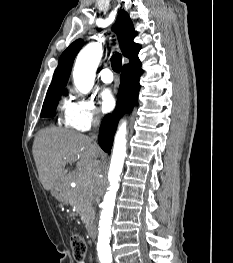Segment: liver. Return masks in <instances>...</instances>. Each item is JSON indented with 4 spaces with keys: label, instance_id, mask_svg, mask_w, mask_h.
I'll use <instances>...</instances> for the list:
<instances>
[{
    "label": "liver",
    "instance_id": "1",
    "mask_svg": "<svg viewBox=\"0 0 233 263\" xmlns=\"http://www.w3.org/2000/svg\"><path fill=\"white\" fill-rule=\"evenodd\" d=\"M33 156L44 189L52 190L56 182L64 177L67 162L76 157L79 158L77 180L87 178L85 171L95 165L99 149L86 135L51 127L37 134L33 143Z\"/></svg>",
    "mask_w": 233,
    "mask_h": 263
}]
</instances>
